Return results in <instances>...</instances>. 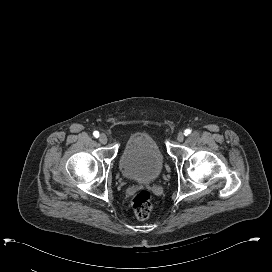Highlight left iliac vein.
Wrapping results in <instances>:
<instances>
[{
	"label": "left iliac vein",
	"instance_id": "left-iliac-vein-1",
	"mask_svg": "<svg viewBox=\"0 0 272 272\" xmlns=\"http://www.w3.org/2000/svg\"><path fill=\"white\" fill-rule=\"evenodd\" d=\"M184 138H185V134L183 132H179L178 135H177V140L179 142H183Z\"/></svg>",
	"mask_w": 272,
	"mask_h": 272
}]
</instances>
